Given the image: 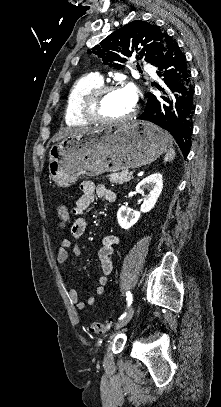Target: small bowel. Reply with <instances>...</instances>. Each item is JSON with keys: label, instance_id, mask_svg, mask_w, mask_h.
I'll use <instances>...</instances> for the list:
<instances>
[{"label": "small bowel", "instance_id": "1", "mask_svg": "<svg viewBox=\"0 0 221 407\" xmlns=\"http://www.w3.org/2000/svg\"><path fill=\"white\" fill-rule=\"evenodd\" d=\"M80 190L81 196L76 201V205L73 209L75 218L70 227V234L73 240H78L85 233L86 222L83 218V213L94 202L96 197L103 198L109 203H113L116 200L115 193L107 189L104 185H95L92 182H83L80 186ZM116 244L117 238L113 235H108L104 238L103 245L98 252L100 273L97 277L98 284L95 289L96 295H101L104 293L105 285L107 284L109 275L112 271L111 255ZM70 251L75 257H78L81 254L80 248L74 244L73 241L70 239H63L57 251V262L61 265L67 263L69 260ZM69 300L78 310H84L86 307V304L80 300L78 291L75 288L70 289ZM95 300V296H90L87 300V304L93 305Z\"/></svg>", "mask_w": 221, "mask_h": 407}]
</instances>
